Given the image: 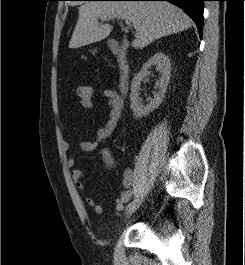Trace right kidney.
Masks as SVG:
<instances>
[{
  "instance_id": "1",
  "label": "right kidney",
  "mask_w": 245,
  "mask_h": 265,
  "mask_svg": "<svg viewBox=\"0 0 245 265\" xmlns=\"http://www.w3.org/2000/svg\"><path fill=\"white\" fill-rule=\"evenodd\" d=\"M152 66H155L156 70L161 74V77L155 84L159 90L154 94V98L151 99L148 104L144 105L142 99L139 97L140 84L143 78L150 75L149 69ZM170 74V59L162 52L154 54L145 64H143L141 70L134 77L131 83L130 108L132 109L135 118H141L148 115L162 103L169 84Z\"/></svg>"
}]
</instances>
